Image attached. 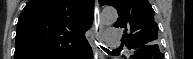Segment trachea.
<instances>
[{
    "mask_svg": "<svg viewBox=\"0 0 193 59\" xmlns=\"http://www.w3.org/2000/svg\"><path fill=\"white\" fill-rule=\"evenodd\" d=\"M101 48L104 50V51H109V49H107V48H105V47H103V46H101ZM119 48H116V49H114V50H118Z\"/></svg>",
    "mask_w": 193,
    "mask_h": 59,
    "instance_id": "3493384b",
    "label": "trachea"
}]
</instances>
